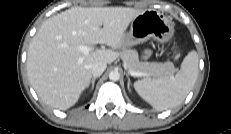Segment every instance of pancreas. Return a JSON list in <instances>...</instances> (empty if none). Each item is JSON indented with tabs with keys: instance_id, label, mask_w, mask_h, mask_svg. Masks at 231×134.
<instances>
[{
	"instance_id": "1",
	"label": "pancreas",
	"mask_w": 231,
	"mask_h": 134,
	"mask_svg": "<svg viewBox=\"0 0 231 134\" xmlns=\"http://www.w3.org/2000/svg\"><path fill=\"white\" fill-rule=\"evenodd\" d=\"M124 66L128 71H136L146 73L147 76H156L159 78L168 77L176 71L172 62H141L139 61L138 52L136 50L124 49L120 53Z\"/></svg>"
}]
</instances>
